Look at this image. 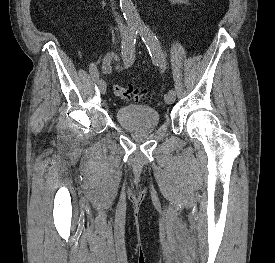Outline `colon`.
<instances>
[{
  "mask_svg": "<svg viewBox=\"0 0 275 263\" xmlns=\"http://www.w3.org/2000/svg\"><path fill=\"white\" fill-rule=\"evenodd\" d=\"M113 93L117 98L125 101L147 103L151 100V95L148 92L131 89L122 85H114Z\"/></svg>",
  "mask_w": 275,
  "mask_h": 263,
  "instance_id": "1",
  "label": "colon"
}]
</instances>
